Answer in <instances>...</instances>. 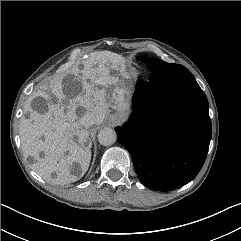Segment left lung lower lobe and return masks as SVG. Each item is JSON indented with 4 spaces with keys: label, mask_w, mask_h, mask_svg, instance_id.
<instances>
[{
    "label": "left lung lower lobe",
    "mask_w": 241,
    "mask_h": 241,
    "mask_svg": "<svg viewBox=\"0 0 241 241\" xmlns=\"http://www.w3.org/2000/svg\"><path fill=\"white\" fill-rule=\"evenodd\" d=\"M133 108L129 121L115 131L139 180L159 191L192 181L204 164L212 133L208 101L200 86L172 94L165 76L153 71L148 82L137 81Z\"/></svg>",
    "instance_id": "left-lung-lower-lobe-1"
}]
</instances>
